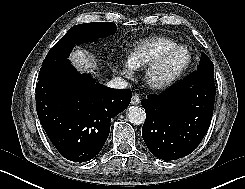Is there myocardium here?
<instances>
[{
	"mask_svg": "<svg viewBox=\"0 0 245 189\" xmlns=\"http://www.w3.org/2000/svg\"><path fill=\"white\" fill-rule=\"evenodd\" d=\"M177 50H184L187 54L186 62L176 71L171 73L170 75L162 78H156L155 74L161 69L164 65L166 59L170 54ZM192 53L190 49L185 45H173L165 49L155 60L150 62L145 70L144 79L146 84L152 89H164L172 84H174L177 80H179L184 73L189 69L192 63Z\"/></svg>",
	"mask_w": 245,
	"mask_h": 189,
	"instance_id": "obj_1",
	"label": "myocardium"
}]
</instances>
